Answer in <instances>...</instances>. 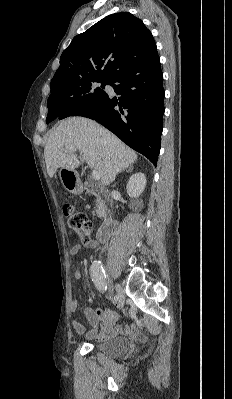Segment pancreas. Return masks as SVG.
I'll list each match as a JSON object with an SVG mask.
<instances>
[{"mask_svg":"<svg viewBox=\"0 0 232 399\" xmlns=\"http://www.w3.org/2000/svg\"><path fill=\"white\" fill-rule=\"evenodd\" d=\"M94 196H96L97 198L95 203L97 215H99V217H104V219H106L108 211L106 200H103L102 196H97V194H94Z\"/></svg>","mask_w":232,"mask_h":399,"instance_id":"obj_1","label":"pancreas"}]
</instances>
